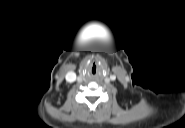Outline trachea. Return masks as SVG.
Here are the masks:
<instances>
[{"instance_id":"3493384b","label":"trachea","mask_w":185,"mask_h":128,"mask_svg":"<svg viewBox=\"0 0 185 128\" xmlns=\"http://www.w3.org/2000/svg\"><path fill=\"white\" fill-rule=\"evenodd\" d=\"M96 72H97V68H96V66H93V67L91 68V73H92V74H96Z\"/></svg>"}]
</instances>
